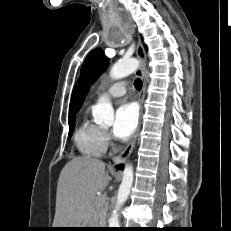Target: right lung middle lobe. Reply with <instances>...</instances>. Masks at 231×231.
Wrapping results in <instances>:
<instances>
[{"label":"right lung middle lobe","instance_id":"1","mask_svg":"<svg viewBox=\"0 0 231 231\" xmlns=\"http://www.w3.org/2000/svg\"><path fill=\"white\" fill-rule=\"evenodd\" d=\"M74 126H75V117L69 118V137L72 136V133L74 131Z\"/></svg>","mask_w":231,"mask_h":231}]
</instances>
